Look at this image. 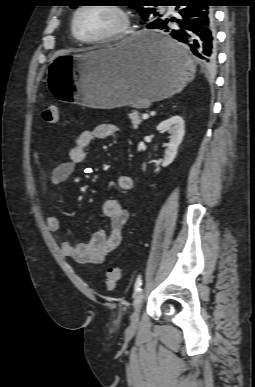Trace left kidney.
Wrapping results in <instances>:
<instances>
[{
    "label": "left kidney",
    "mask_w": 255,
    "mask_h": 387,
    "mask_svg": "<svg viewBox=\"0 0 255 387\" xmlns=\"http://www.w3.org/2000/svg\"><path fill=\"white\" fill-rule=\"evenodd\" d=\"M157 130L160 133L167 131L170 134V139L167 143V148L165 150V155L162 162V166L167 167L175 159L177 155L178 146L183 140V136L185 133L184 120L179 115L172 116L171 118L162 121L157 126Z\"/></svg>",
    "instance_id": "left-kidney-1"
}]
</instances>
